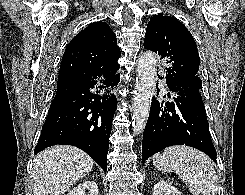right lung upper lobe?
<instances>
[{"instance_id":"cb5924a9","label":"right lung upper lobe","mask_w":245,"mask_h":195,"mask_svg":"<svg viewBox=\"0 0 245 195\" xmlns=\"http://www.w3.org/2000/svg\"><path fill=\"white\" fill-rule=\"evenodd\" d=\"M121 55L114 32L104 22L90 24L67 46L60 66L57 87L89 81L97 70L117 74Z\"/></svg>"}]
</instances>
